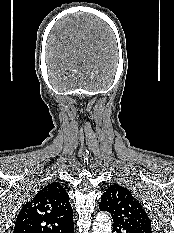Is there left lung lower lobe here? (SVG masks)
I'll return each instance as SVG.
<instances>
[{
  "mask_svg": "<svg viewBox=\"0 0 174 233\" xmlns=\"http://www.w3.org/2000/svg\"><path fill=\"white\" fill-rule=\"evenodd\" d=\"M112 233H130L126 230H124L122 227L117 226V225H113V231Z\"/></svg>",
  "mask_w": 174,
  "mask_h": 233,
  "instance_id": "obj_1",
  "label": "left lung lower lobe"
}]
</instances>
